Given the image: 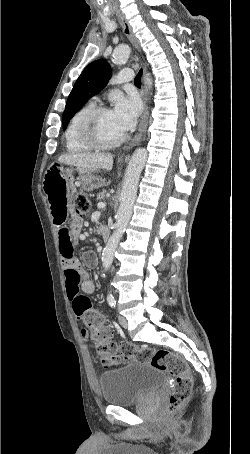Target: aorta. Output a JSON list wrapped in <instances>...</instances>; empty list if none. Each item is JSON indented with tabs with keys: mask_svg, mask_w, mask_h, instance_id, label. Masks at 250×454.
<instances>
[{
	"mask_svg": "<svg viewBox=\"0 0 250 454\" xmlns=\"http://www.w3.org/2000/svg\"><path fill=\"white\" fill-rule=\"evenodd\" d=\"M130 51L129 45L123 44L118 46L113 53L114 63H125L129 58ZM146 84L149 88L152 87V79L150 77L146 78ZM147 156L148 154L145 148H138L128 163L120 195V206L116 215L115 230L102 253V265L106 271L112 265L115 251L131 219L140 175L146 163Z\"/></svg>",
	"mask_w": 250,
	"mask_h": 454,
	"instance_id": "1",
	"label": "aorta"
}]
</instances>
